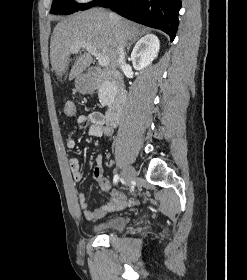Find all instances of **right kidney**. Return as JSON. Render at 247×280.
I'll use <instances>...</instances> for the list:
<instances>
[{
  "label": "right kidney",
  "instance_id": "right-kidney-1",
  "mask_svg": "<svg viewBox=\"0 0 247 280\" xmlns=\"http://www.w3.org/2000/svg\"><path fill=\"white\" fill-rule=\"evenodd\" d=\"M160 49V42L156 35L147 34L142 37L135 45L131 60L136 70H142L149 66L157 57Z\"/></svg>",
  "mask_w": 247,
  "mask_h": 280
}]
</instances>
